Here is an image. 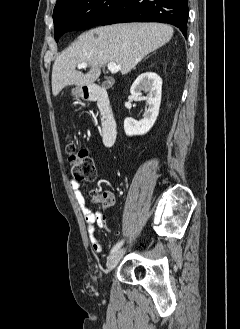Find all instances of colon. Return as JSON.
<instances>
[{"mask_svg":"<svg viewBox=\"0 0 240 329\" xmlns=\"http://www.w3.org/2000/svg\"><path fill=\"white\" fill-rule=\"evenodd\" d=\"M66 152L69 155L72 176L77 181H93L96 178L97 171L94 159L90 152L80 147L77 142H70L67 145ZM93 199L104 207L107 206L110 198L108 196L94 193Z\"/></svg>","mask_w":240,"mask_h":329,"instance_id":"5ec220e1","label":"colon"}]
</instances>
